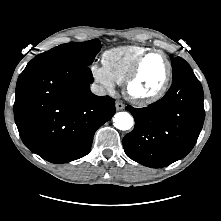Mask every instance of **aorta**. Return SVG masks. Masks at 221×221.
I'll list each match as a JSON object with an SVG mask.
<instances>
[{"instance_id":"1","label":"aorta","mask_w":221,"mask_h":221,"mask_svg":"<svg viewBox=\"0 0 221 221\" xmlns=\"http://www.w3.org/2000/svg\"><path fill=\"white\" fill-rule=\"evenodd\" d=\"M113 122L115 127L122 131L129 130L134 124L133 117L128 112L116 113Z\"/></svg>"}]
</instances>
